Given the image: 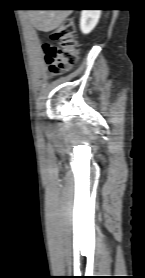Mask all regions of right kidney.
I'll list each match as a JSON object with an SVG mask.
<instances>
[{
	"label": "right kidney",
	"mask_w": 145,
	"mask_h": 278,
	"mask_svg": "<svg viewBox=\"0 0 145 278\" xmlns=\"http://www.w3.org/2000/svg\"><path fill=\"white\" fill-rule=\"evenodd\" d=\"M101 15V10H82L80 18V28L82 33H90L97 25Z\"/></svg>",
	"instance_id": "ca27d5eb"
}]
</instances>
